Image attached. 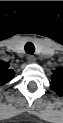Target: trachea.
<instances>
[{"label": "trachea", "instance_id": "trachea-1", "mask_svg": "<svg viewBox=\"0 0 63 123\" xmlns=\"http://www.w3.org/2000/svg\"><path fill=\"white\" fill-rule=\"evenodd\" d=\"M24 49H25V52H26L27 54L33 55V53H34V51H35V46H34V44L31 43V42H27V43L25 44Z\"/></svg>", "mask_w": 63, "mask_h": 123}]
</instances>
